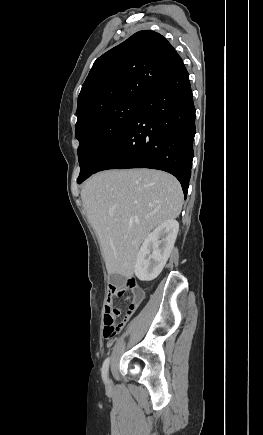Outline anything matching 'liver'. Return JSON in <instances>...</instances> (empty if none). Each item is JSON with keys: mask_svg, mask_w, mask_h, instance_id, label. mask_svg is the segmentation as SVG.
I'll use <instances>...</instances> for the list:
<instances>
[{"mask_svg": "<svg viewBox=\"0 0 263 435\" xmlns=\"http://www.w3.org/2000/svg\"><path fill=\"white\" fill-rule=\"evenodd\" d=\"M81 199L107 272L131 277L141 243L161 223L179 216L183 192L166 172L106 170L85 182Z\"/></svg>", "mask_w": 263, "mask_h": 435, "instance_id": "liver-1", "label": "liver"}]
</instances>
